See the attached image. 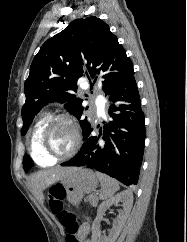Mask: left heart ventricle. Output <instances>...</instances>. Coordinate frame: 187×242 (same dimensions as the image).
I'll return each mask as SVG.
<instances>
[{"label": "left heart ventricle", "mask_w": 187, "mask_h": 242, "mask_svg": "<svg viewBox=\"0 0 187 242\" xmlns=\"http://www.w3.org/2000/svg\"><path fill=\"white\" fill-rule=\"evenodd\" d=\"M74 144V134L71 127L66 123L55 124L49 132L46 145L53 154H65Z\"/></svg>", "instance_id": "b2bd125f"}]
</instances>
